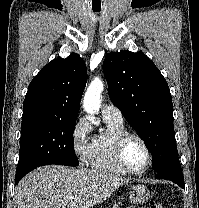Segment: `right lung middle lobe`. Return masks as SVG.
<instances>
[{"instance_id":"1","label":"right lung middle lobe","mask_w":199,"mask_h":208,"mask_svg":"<svg viewBox=\"0 0 199 208\" xmlns=\"http://www.w3.org/2000/svg\"><path fill=\"white\" fill-rule=\"evenodd\" d=\"M77 118L45 114L22 116L20 155L16 174L48 164L77 166L73 133Z\"/></svg>"}]
</instances>
